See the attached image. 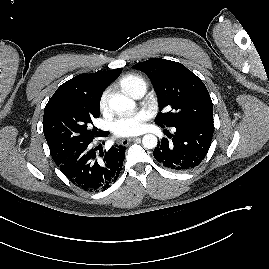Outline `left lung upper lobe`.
Masks as SVG:
<instances>
[{"instance_id":"obj_1","label":"left lung upper lobe","mask_w":269,"mask_h":269,"mask_svg":"<svg viewBox=\"0 0 269 269\" xmlns=\"http://www.w3.org/2000/svg\"><path fill=\"white\" fill-rule=\"evenodd\" d=\"M147 74L159 100L156 124L175 127L188 122H213V104L202 80L184 65L151 58L132 66Z\"/></svg>"}]
</instances>
